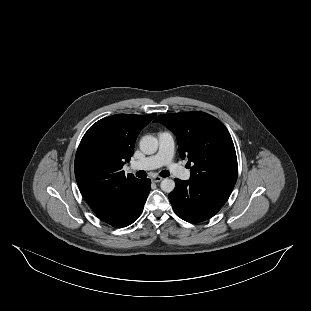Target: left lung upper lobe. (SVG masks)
<instances>
[{"label":"left lung upper lobe","mask_w":311,"mask_h":311,"mask_svg":"<svg viewBox=\"0 0 311 311\" xmlns=\"http://www.w3.org/2000/svg\"><path fill=\"white\" fill-rule=\"evenodd\" d=\"M160 122L175 135L182 159L188 158L190 180L233 189L237 180V157L232 138L217 118L204 112L161 114Z\"/></svg>","instance_id":"5c2ea615"}]
</instances>
